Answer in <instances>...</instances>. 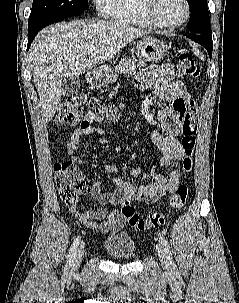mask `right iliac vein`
I'll use <instances>...</instances> for the list:
<instances>
[{
	"mask_svg": "<svg viewBox=\"0 0 239 303\" xmlns=\"http://www.w3.org/2000/svg\"><path fill=\"white\" fill-rule=\"evenodd\" d=\"M83 256H84V250H83V247H81L78 252H77V255L73 261V264H72V269L73 270H77L79 267H80V264L82 262V259H83Z\"/></svg>",
	"mask_w": 239,
	"mask_h": 303,
	"instance_id": "right-iliac-vein-1",
	"label": "right iliac vein"
}]
</instances>
